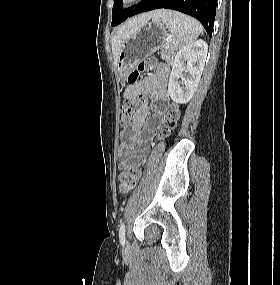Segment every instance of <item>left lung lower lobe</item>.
Returning <instances> with one entry per match:
<instances>
[{
    "instance_id": "left-lung-lower-lobe-1",
    "label": "left lung lower lobe",
    "mask_w": 280,
    "mask_h": 285,
    "mask_svg": "<svg viewBox=\"0 0 280 285\" xmlns=\"http://www.w3.org/2000/svg\"><path fill=\"white\" fill-rule=\"evenodd\" d=\"M217 0H142L130 14L159 9H173L198 19L205 30L212 36Z\"/></svg>"
}]
</instances>
